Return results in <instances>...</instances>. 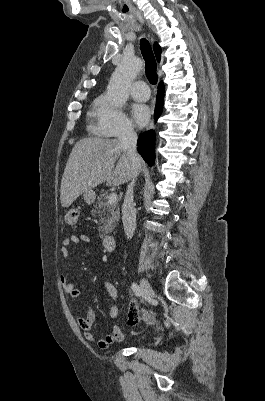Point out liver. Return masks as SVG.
Instances as JSON below:
<instances>
[{"label":"liver","instance_id":"1","mask_svg":"<svg viewBox=\"0 0 265 401\" xmlns=\"http://www.w3.org/2000/svg\"><path fill=\"white\" fill-rule=\"evenodd\" d=\"M139 160L138 172L141 170L140 156ZM131 176L132 166L119 138H81L73 146L64 168L61 205L70 207L77 196L101 182H106L107 186H118L128 182Z\"/></svg>","mask_w":265,"mask_h":401}]
</instances>
